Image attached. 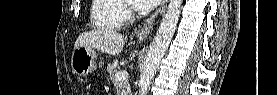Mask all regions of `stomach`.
I'll use <instances>...</instances> for the list:
<instances>
[{"mask_svg": "<svg viewBox=\"0 0 277 95\" xmlns=\"http://www.w3.org/2000/svg\"><path fill=\"white\" fill-rule=\"evenodd\" d=\"M71 67L74 74L85 77L97 69V54L94 49L78 47L71 56ZM99 67H102L99 64Z\"/></svg>", "mask_w": 277, "mask_h": 95, "instance_id": "stomach-1", "label": "stomach"}]
</instances>
